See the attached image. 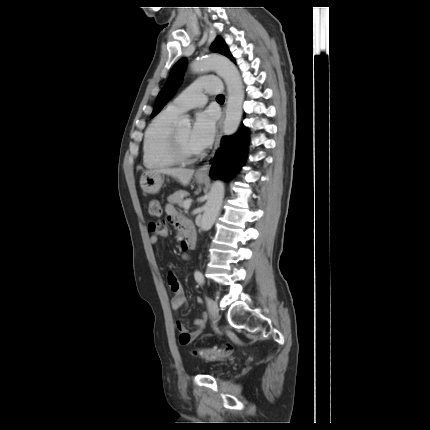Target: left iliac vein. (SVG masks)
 I'll list each match as a JSON object with an SVG mask.
<instances>
[{"instance_id":"left-iliac-vein-1","label":"left iliac vein","mask_w":430,"mask_h":430,"mask_svg":"<svg viewBox=\"0 0 430 430\" xmlns=\"http://www.w3.org/2000/svg\"><path fill=\"white\" fill-rule=\"evenodd\" d=\"M207 306L210 315L214 318L215 322H217L219 312L217 302L212 299H207Z\"/></svg>"}]
</instances>
